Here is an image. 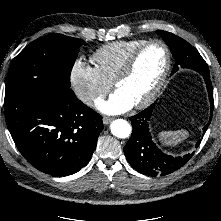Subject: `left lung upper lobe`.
Returning a JSON list of instances; mask_svg holds the SVG:
<instances>
[{
  "label": "left lung upper lobe",
  "mask_w": 221,
  "mask_h": 221,
  "mask_svg": "<svg viewBox=\"0 0 221 221\" xmlns=\"http://www.w3.org/2000/svg\"><path fill=\"white\" fill-rule=\"evenodd\" d=\"M156 32L161 35L162 39L170 47L175 59V66L172 73L176 72L179 67H182L193 69L203 75L209 74L206 62L199 52L188 42L166 31L158 30Z\"/></svg>",
  "instance_id": "obj_1"
}]
</instances>
